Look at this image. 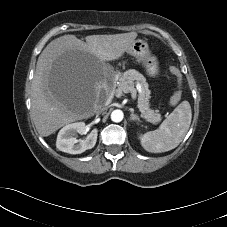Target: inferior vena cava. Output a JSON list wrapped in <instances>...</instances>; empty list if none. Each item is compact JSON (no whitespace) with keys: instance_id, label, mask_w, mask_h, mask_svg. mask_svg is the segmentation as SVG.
Segmentation results:
<instances>
[{"instance_id":"obj_1","label":"inferior vena cava","mask_w":227,"mask_h":227,"mask_svg":"<svg viewBox=\"0 0 227 227\" xmlns=\"http://www.w3.org/2000/svg\"><path fill=\"white\" fill-rule=\"evenodd\" d=\"M107 104H98V105H96L95 106V112L97 113V114H101L104 110H106L107 109Z\"/></svg>"}]
</instances>
